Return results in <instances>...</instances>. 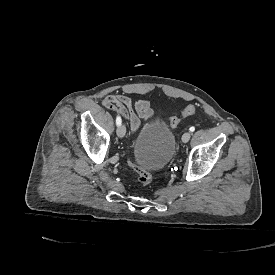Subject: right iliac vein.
I'll return each instance as SVG.
<instances>
[{
    "mask_svg": "<svg viewBox=\"0 0 275 275\" xmlns=\"http://www.w3.org/2000/svg\"><path fill=\"white\" fill-rule=\"evenodd\" d=\"M126 133V129L124 125H119L117 128V135L120 138H123L125 136Z\"/></svg>",
    "mask_w": 275,
    "mask_h": 275,
    "instance_id": "1",
    "label": "right iliac vein"
}]
</instances>
